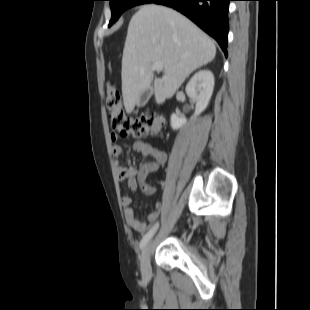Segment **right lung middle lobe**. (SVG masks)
Wrapping results in <instances>:
<instances>
[{
	"label": "right lung middle lobe",
	"instance_id": "1",
	"mask_svg": "<svg viewBox=\"0 0 310 310\" xmlns=\"http://www.w3.org/2000/svg\"><path fill=\"white\" fill-rule=\"evenodd\" d=\"M112 12V18L109 22V27L120 17V15L128 8L149 3L152 0H109Z\"/></svg>",
	"mask_w": 310,
	"mask_h": 310
}]
</instances>
